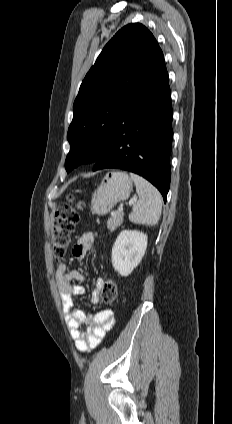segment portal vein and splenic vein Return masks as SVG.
<instances>
[{
    "mask_svg": "<svg viewBox=\"0 0 232 424\" xmlns=\"http://www.w3.org/2000/svg\"><path fill=\"white\" fill-rule=\"evenodd\" d=\"M136 200H137L136 198H132V199L129 201V205L131 206L132 204H134V203L136 202ZM118 211H119V212H123V205H120V206H119ZM111 215H114V212H112V213H111Z\"/></svg>",
    "mask_w": 232,
    "mask_h": 424,
    "instance_id": "obj_1",
    "label": "portal vein and splenic vein"
}]
</instances>
